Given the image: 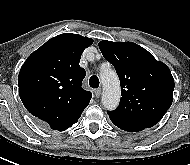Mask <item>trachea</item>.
Returning <instances> with one entry per match:
<instances>
[{"instance_id": "obj_1", "label": "trachea", "mask_w": 190, "mask_h": 165, "mask_svg": "<svg viewBox=\"0 0 190 165\" xmlns=\"http://www.w3.org/2000/svg\"><path fill=\"white\" fill-rule=\"evenodd\" d=\"M99 78L96 75H93L89 79V85L92 88H98L99 87Z\"/></svg>"}]
</instances>
